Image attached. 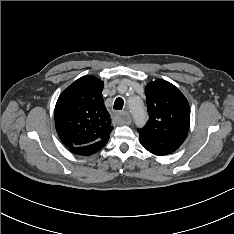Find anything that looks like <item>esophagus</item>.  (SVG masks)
<instances>
[{
	"label": "esophagus",
	"mask_w": 234,
	"mask_h": 234,
	"mask_svg": "<svg viewBox=\"0 0 234 234\" xmlns=\"http://www.w3.org/2000/svg\"><path fill=\"white\" fill-rule=\"evenodd\" d=\"M120 116L122 118V120L126 123V124H130L131 123V116L127 111H123L120 113Z\"/></svg>",
	"instance_id": "34e87169"
}]
</instances>
